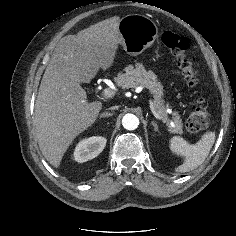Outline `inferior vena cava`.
<instances>
[{
	"mask_svg": "<svg viewBox=\"0 0 236 236\" xmlns=\"http://www.w3.org/2000/svg\"><path fill=\"white\" fill-rule=\"evenodd\" d=\"M118 108H119V106H112V107H110L111 110H115V109H118Z\"/></svg>",
	"mask_w": 236,
	"mask_h": 236,
	"instance_id": "602c4592",
	"label": "inferior vena cava"
}]
</instances>
